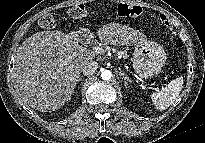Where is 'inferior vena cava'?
<instances>
[{"label": "inferior vena cava", "mask_w": 205, "mask_h": 143, "mask_svg": "<svg viewBox=\"0 0 205 143\" xmlns=\"http://www.w3.org/2000/svg\"><path fill=\"white\" fill-rule=\"evenodd\" d=\"M98 63L95 61H89L87 62L83 67H82V72L85 76H91L93 75L97 68H98Z\"/></svg>", "instance_id": "1"}]
</instances>
